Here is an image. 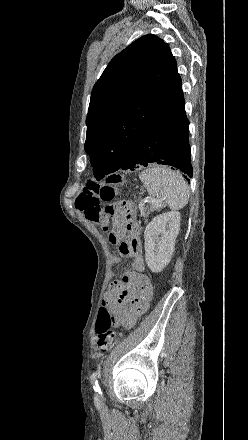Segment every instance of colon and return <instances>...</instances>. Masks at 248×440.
Segmentation results:
<instances>
[{"label": "colon", "mask_w": 248, "mask_h": 440, "mask_svg": "<svg viewBox=\"0 0 248 440\" xmlns=\"http://www.w3.org/2000/svg\"><path fill=\"white\" fill-rule=\"evenodd\" d=\"M121 181L119 175L109 176L105 183L89 181L75 201L76 208L88 220L99 224L105 230H110L109 239L113 244L119 242V236L112 227V220L117 206L111 203V200L115 193L114 185L119 184ZM101 201L107 203L104 208L101 207ZM123 203L120 206L122 210L124 208ZM114 319V315L109 308L103 306L100 309L96 322L97 345L100 354L107 353L119 336L111 329Z\"/></svg>", "instance_id": "1"}]
</instances>
